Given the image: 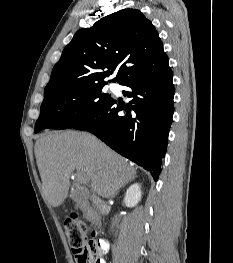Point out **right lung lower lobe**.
I'll return each mask as SVG.
<instances>
[{"label":"right lung lower lobe","instance_id":"obj_1","mask_svg":"<svg viewBox=\"0 0 233 263\" xmlns=\"http://www.w3.org/2000/svg\"><path fill=\"white\" fill-rule=\"evenodd\" d=\"M172 78L168 66L157 74L125 80L120 84L131 90L123 93L132 98L126 106L112 99L73 128L93 133L157 180L174 112Z\"/></svg>","mask_w":233,"mask_h":263}]
</instances>
